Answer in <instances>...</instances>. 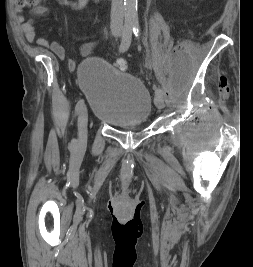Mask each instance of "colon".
Wrapping results in <instances>:
<instances>
[{
	"instance_id": "1",
	"label": "colon",
	"mask_w": 253,
	"mask_h": 267,
	"mask_svg": "<svg viewBox=\"0 0 253 267\" xmlns=\"http://www.w3.org/2000/svg\"><path fill=\"white\" fill-rule=\"evenodd\" d=\"M40 0H15V4L19 8L34 7L39 4ZM115 66L120 71H125L128 67L126 60L118 58L115 62Z\"/></svg>"
}]
</instances>
